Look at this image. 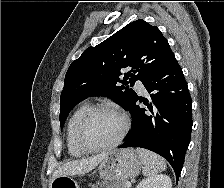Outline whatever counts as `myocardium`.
<instances>
[{
	"instance_id": "obj_1",
	"label": "myocardium",
	"mask_w": 224,
	"mask_h": 188,
	"mask_svg": "<svg viewBox=\"0 0 224 188\" xmlns=\"http://www.w3.org/2000/svg\"><path fill=\"white\" fill-rule=\"evenodd\" d=\"M100 111H109L119 115L122 119V129L119 135L117 136V138L111 143L95 146V145L89 144L85 140L84 130L90 118L94 114ZM129 129H130V119L124 110L111 104H98V105L90 107L79 120L77 128H76V133H75L76 142L79 145V147L82 148L86 152L104 151V150H108L118 146L127 135Z\"/></svg>"
}]
</instances>
